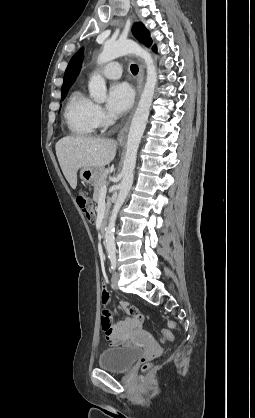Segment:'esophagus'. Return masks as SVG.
<instances>
[{"instance_id":"esophagus-1","label":"esophagus","mask_w":255,"mask_h":418,"mask_svg":"<svg viewBox=\"0 0 255 418\" xmlns=\"http://www.w3.org/2000/svg\"><path fill=\"white\" fill-rule=\"evenodd\" d=\"M143 83H144V66L142 64V62H139V73H138V77H137V100L136 103L140 97V94L142 92V88H143ZM134 111V109H133ZM133 111L131 112V114L129 115V117L127 118L125 124L123 125V127L121 128V130L119 131L118 134V142L119 144H124L126 142V138H127V133H128V129H129V125L131 122V118L133 115Z\"/></svg>"}]
</instances>
